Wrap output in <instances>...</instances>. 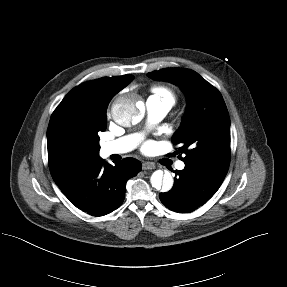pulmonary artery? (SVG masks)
I'll return each mask as SVG.
<instances>
[{
  "instance_id": "e3ab8cb5",
  "label": "pulmonary artery",
  "mask_w": 287,
  "mask_h": 287,
  "mask_svg": "<svg viewBox=\"0 0 287 287\" xmlns=\"http://www.w3.org/2000/svg\"><path fill=\"white\" fill-rule=\"evenodd\" d=\"M173 104L166 100H160L149 97L146 102L148 121L155 124L161 121L171 110ZM141 139L140 134H131L119 139L105 142L102 144V153L106 156L112 154H123L134 149ZM177 169L182 170L185 167L184 162L180 161L176 165Z\"/></svg>"
}]
</instances>
